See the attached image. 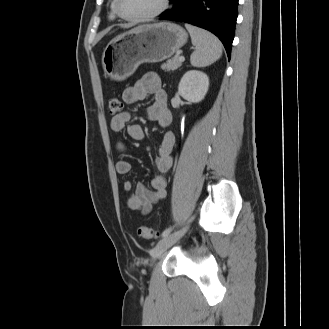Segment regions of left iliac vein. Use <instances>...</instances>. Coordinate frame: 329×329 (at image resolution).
Returning <instances> with one entry per match:
<instances>
[{"label": "left iliac vein", "mask_w": 329, "mask_h": 329, "mask_svg": "<svg viewBox=\"0 0 329 329\" xmlns=\"http://www.w3.org/2000/svg\"><path fill=\"white\" fill-rule=\"evenodd\" d=\"M186 231L187 228H183L162 238L151 251V263L153 264L163 252L176 243Z\"/></svg>", "instance_id": "4c4485c4"}]
</instances>
